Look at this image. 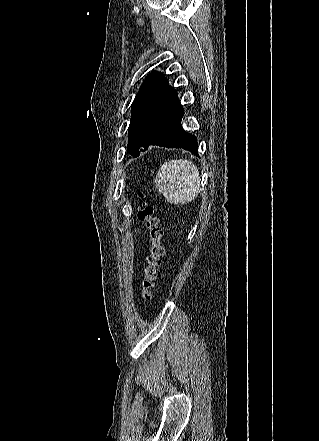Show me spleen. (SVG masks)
<instances>
[{
    "mask_svg": "<svg viewBox=\"0 0 319 441\" xmlns=\"http://www.w3.org/2000/svg\"><path fill=\"white\" fill-rule=\"evenodd\" d=\"M200 181L197 167L187 159H178L161 165L155 184L167 202L183 205L197 197Z\"/></svg>",
    "mask_w": 319,
    "mask_h": 441,
    "instance_id": "spleen-1",
    "label": "spleen"
}]
</instances>
